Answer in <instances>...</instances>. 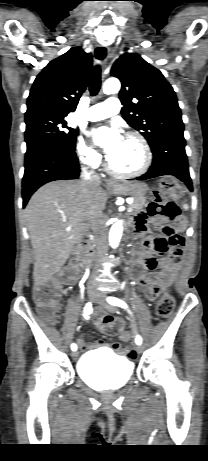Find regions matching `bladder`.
<instances>
[{
    "label": "bladder",
    "instance_id": "obj_1",
    "mask_svg": "<svg viewBox=\"0 0 208 461\" xmlns=\"http://www.w3.org/2000/svg\"><path fill=\"white\" fill-rule=\"evenodd\" d=\"M133 363L109 351L82 356L77 364L79 377L91 388L100 391L124 387L131 379Z\"/></svg>",
    "mask_w": 208,
    "mask_h": 461
}]
</instances>
